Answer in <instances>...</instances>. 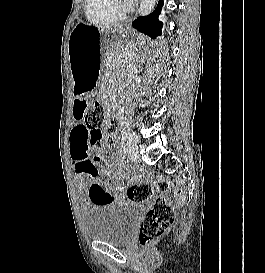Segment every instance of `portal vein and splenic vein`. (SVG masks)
Instances as JSON below:
<instances>
[{
    "label": "portal vein and splenic vein",
    "mask_w": 265,
    "mask_h": 273,
    "mask_svg": "<svg viewBox=\"0 0 265 273\" xmlns=\"http://www.w3.org/2000/svg\"><path fill=\"white\" fill-rule=\"evenodd\" d=\"M128 55H129V56H133V55H134V53H129Z\"/></svg>",
    "instance_id": "1"
}]
</instances>
